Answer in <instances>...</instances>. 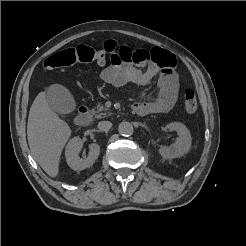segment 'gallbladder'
Returning a JSON list of instances; mask_svg holds the SVG:
<instances>
[{"label":"gallbladder","mask_w":246,"mask_h":246,"mask_svg":"<svg viewBox=\"0 0 246 246\" xmlns=\"http://www.w3.org/2000/svg\"><path fill=\"white\" fill-rule=\"evenodd\" d=\"M45 95L51 110L55 113L69 114L76 108L72 94L62 85L54 84L49 86Z\"/></svg>","instance_id":"bac80fb5"}]
</instances>
